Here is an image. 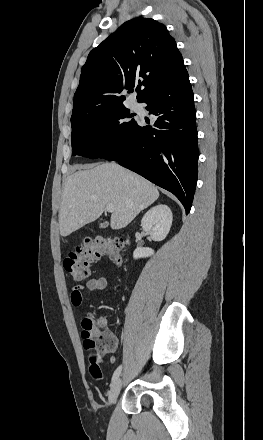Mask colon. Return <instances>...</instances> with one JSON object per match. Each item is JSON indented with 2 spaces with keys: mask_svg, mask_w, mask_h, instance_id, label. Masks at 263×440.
<instances>
[{
  "mask_svg": "<svg viewBox=\"0 0 263 440\" xmlns=\"http://www.w3.org/2000/svg\"><path fill=\"white\" fill-rule=\"evenodd\" d=\"M124 242L120 238L96 239L86 238L64 261L66 272L74 281H83L90 274V265L102 256H108L117 265L123 261ZM99 318L86 317L82 321L84 348L90 359V371L96 379L102 378L100 362L108 352L113 335L99 326Z\"/></svg>",
  "mask_w": 263,
  "mask_h": 440,
  "instance_id": "5ec220e1",
  "label": "colon"
}]
</instances>
